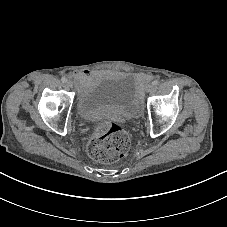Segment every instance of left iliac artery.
<instances>
[{
    "label": "left iliac artery",
    "instance_id": "44dca946",
    "mask_svg": "<svg viewBox=\"0 0 227 227\" xmlns=\"http://www.w3.org/2000/svg\"><path fill=\"white\" fill-rule=\"evenodd\" d=\"M159 84V81L158 80H154L153 82H152V85L153 86H157Z\"/></svg>",
    "mask_w": 227,
    "mask_h": 227
}]
</instances>
